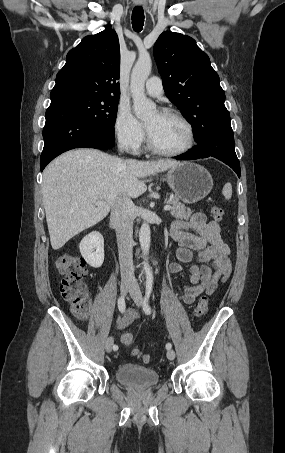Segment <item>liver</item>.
Returning a JSON list of instances; mask_svg holds the SVG:
<instances>
[{
    "instance_id": "1",
    "label": "liver",
    "mask_w": 285,
    "mask_h": 453,
    "mask_svg": "<svg viewBox=\"0 0 285 453\" xmlns=\"http://www.w3.org/2000/svg\"><path fill=\"white\" fill-rule=\"evenodd\" d=\"M178 162L124 160L96 149L68 151L43 172L42 194L54 250L109 213L119 197L137 198L147 187L140 180Z\"/></svg>"
}]
</instances>
